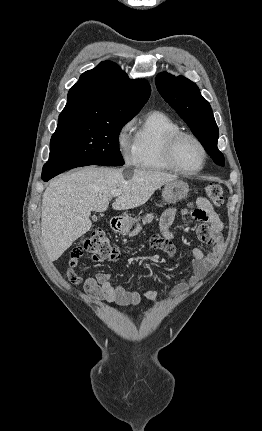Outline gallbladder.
<instances>
[{"instance_id": "bac80fb5", "label": "gallbladder", "mask_w": 262, "mask_h": 431, "mask_svg": "<svg viewBox=\"0 0 262 431\" xmlns=\"http://www.w3.org/2000/svg\"><path fill=\"white\" fill-rule=\"evenodd\" d=\"M92 219H93V220H97V217H96V216H93V217H92Z\"/></svg>"}]
</instances>
